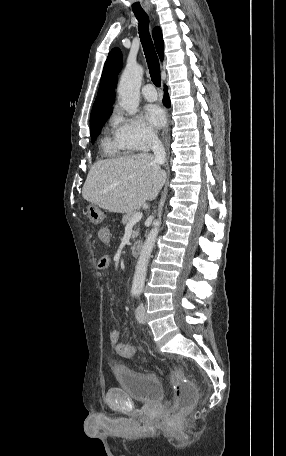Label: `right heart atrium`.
Listing matches in <instances>:
<instances>
[{
    "mask_svg": "<svg viewBox=\"0 0 286 456\" xmlns=\"http://www.w3.org/2000/svg\"><path fill=\"white\" fill-rule=\"evenodd\" d=\"M117 128L123 140L136 150H147L157 140V133L141 118H126L117 113Z\"/></svg>",
    "mask_w": 286,
    "mask_h": 456,
    "instance_id": "1",
    "label": "right heart atrium"
}]
</instances>
